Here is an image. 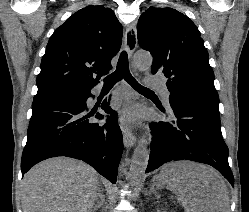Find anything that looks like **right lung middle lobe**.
<instances>
[{
	"label": "right lung middle lobe",
	"instance_id": "right-lung-middle-lobe-1",
	"mask_svg": "<svg viewBox=\"0 0 249 212\" xmlns=\"http://www.w3.org/2000/svg\"><path fill=\"white\" fill-rule=\"evenodd\" d=\"M74 92H58V93H53V94H49V95H45V96H40V97H37L38 99L39 98H54V97H59V96H64V95H69V94H72ZM34 99H36L34 97Z\"/></svg>",
	"mask_w": 249,
	"mask_h": 212
}]
</instances>
